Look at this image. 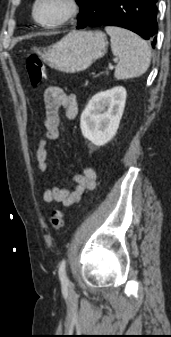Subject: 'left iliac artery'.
Here are the masks:
<instances>
[{"instance_id": "44dca946", "label": "left iliac artery", "mask_w": 171, "mask_h": 337, "mask_svg": "<svg viewBox=\"0 0 171 337\" xmlns=\"http://www.w3.org/2000/svg\"><path fill=\"white\" fill-rule=\"evenodd\" d=\"M58 274H59V279L62 284L69 283V280L66 275V260L65 259H63L60 263Z\"/></svg>"}]
</instances>
